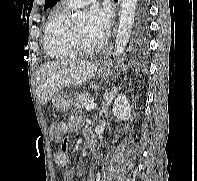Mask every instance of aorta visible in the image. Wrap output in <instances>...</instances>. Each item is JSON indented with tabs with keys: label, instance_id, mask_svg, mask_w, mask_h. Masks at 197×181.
I'll return each instance as SVG.
<instances>
[{
	"label": "aorta",
	"instance_id": "obj_1",
	"mask_svg": "<svg viewBox=\"0 0 197 181\" xmlns=\"http://www.w3.org/2000/svg\"><path fill=\"white\" fill-rule=\"evenodd\" d=\"M138 0H122L121 13L119 18V25L115 40V57H120L125 52L128 45L132 27L135 18V12ZM84 19V15L81 12L74 14V21L80 22Z\"/></svg>",
	"mask_w": 197,
	"mask_h": 181
}]
</instances>
